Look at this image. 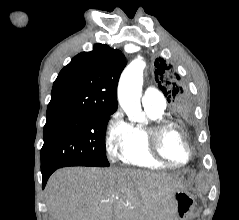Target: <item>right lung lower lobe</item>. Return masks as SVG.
<instances>
[{
	"instance_id": "98d812e1",
	"label": "right lung lower lobe",
	"mask_w": 239,
	"mask_h": 220,
	"mask_svg": "<svg viewBox=\"0 0 239 220\" xmlns=\"http://www.w3.org/2000/svg\"><path fill=\"white\" fill-rule=\"evenodd\" d=\"M54 171H55V170L49 171V172H47V173H42V177H43L42 186H43V188L45 187L46 182H47L49 176H50Z\"/></svg>"
}]
</instances>
